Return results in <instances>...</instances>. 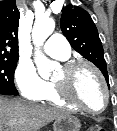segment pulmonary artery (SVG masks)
<instances>
[{
    "label": "pulmonary artery",
    "mask_w": 117,
    "mask_h": 131,
    "mask_svg": "<svg viewBox=\"0 0 117 131\" xmlns=\"http://www.w3.org/2000/svg\"><path fill=\"white\" fill-rule=\"evenodd\" d=\"M44 52L56 59L66 60L70 57V46L68 41L61 34H53L43 46Z\"/></svg>",
    "instance_id": "1"
}]
</instances>
